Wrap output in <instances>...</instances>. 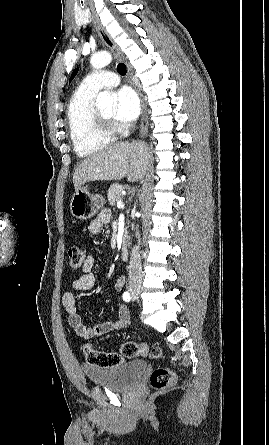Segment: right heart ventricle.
I'll list each match as a JSON object with an SVG mask.
<instances>
[{
  "label": "right heart ventricle",
  "instance_id": "obj_1",
  "mask_svg": "<svg viewBox=\"0 0 269 445\" xmlns=\"http://www.w3.org/2000/svg\"><path fill=\"white\" fill-rule=\"evenodd\" d=\"M96 92L78 87L67 108V124L74 152L80 158L90 157L114 142L113 132H103L95 120Z\"/></svg>",
  "mask_w": 269,
  "mask_h": 445
}]
</instances>
